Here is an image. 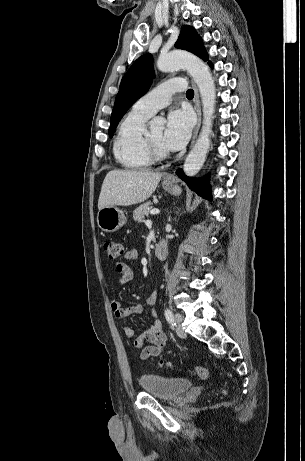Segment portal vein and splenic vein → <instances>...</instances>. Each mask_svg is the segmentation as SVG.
Here are the masks:
<instances>
[{
    "mask_svg": "<svg viewBox=\"0 0 305 461\" xmlns=\"http://www.w3.org/2000/svg\"><path fill=\"white\" fill-rule=\"evenodd\" d=\"M159 212H160V211H159L158 209H152V210L150 211V214H152V215H157V214H159Z\"/></svg>",
    "mask_w": 305,
    "mask_h": 461,
    "instance_id": "obj_1",
    "label": "portal vein and splenic vein"
}]
</instances>
